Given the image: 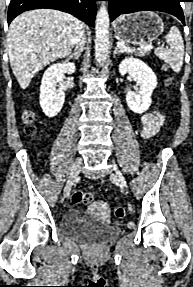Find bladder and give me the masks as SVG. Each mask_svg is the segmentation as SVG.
I'll return each instance as SVG.
<instances>
[{"label":"bladder","instance_id":"bladder-1","mask_svg":"<svg viewBox=\"0 0 193 287\" xmlns=\"http://www.w3.org/2000/svg\"><path fill=\"white\" fill-rule=\"evenodd\" d=\"M85 210L71 209L61 218L62 234L84 242H103L117 236L121 228L110 221H100L94 215H85Z\"/></svg>","mask_w":193,"mask_h":287}]
</instances>
